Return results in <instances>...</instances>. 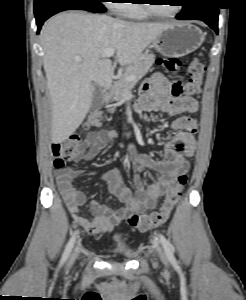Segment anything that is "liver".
<instances>
[{
  "instance_id": "liver-1",
  "label": "liver",
  "mask_w": 246,
  "mask_h": 300,
  "mask_svg": "<svg viewBox=\"0 0 246 300\" xmlns=\"http://www.w3.org/2000/svg\"><path fill=\"white\" fill-rule=\"evenodd\" d=\"M168 23H133L106 15L63 12L41 31L43 66L52 101L53 143L66 140L81 125L93 97V82L111 84L112 62L102 58L114 48L121 66L130 65Z\"/></svg>"
}]
</instances>
